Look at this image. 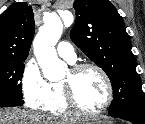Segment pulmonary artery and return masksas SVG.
<instances>
[{
  "mask_svg": "<svg viewBox=\"0 0 145 124\" xmlns=\"http://www.w3.org/2000/svg\"><path fill=\"white\" fill-rule=\"evenodd\" d=\"M57 52L60 57L70 63H73L76 60V53L74 47L69 42H60L57 46Z\"/></svg>",
  "mask_w": 145,
  "mask_h": 124,
  "instance_id": "pulmonary-artery-1",
  "label": "pulmonary artery"
}]
</instances>
